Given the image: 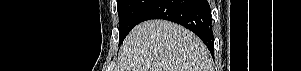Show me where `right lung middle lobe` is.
Returning a JSON list of instances; mask_svg holds the SVG:
<instances>
[{
	"mask_svg": "<svg viewBox=\"0 0 301 71\" xmlns=\"http://www.w3.org/2000/svg\"><path fill=\"white\" fill-rule=\"evenodd\" d=\"M155 0H117L119 14V42L122 43L130 30L140 23L144 12Z\"/></svg>",
	"mask_w": 301,
	"mask_h": 71,
	"instance_id": "obj_1",
	"label": "right lung middle lobe"
}]
</instances>
